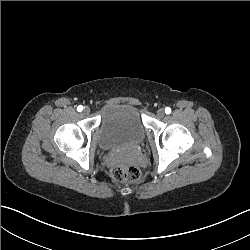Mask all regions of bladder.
Here are the masks:
<instances>
[{
    "instance_id": "1",
    "label": "bladder",
    "mask_w": 250,
    "mask_h": 250,
    "mask_svg": "<svg viewBox=\"0 0 250 250\" xmlns=\"http://www.w3.org/2000/svg\"><path fill=\"white\" fill-rule=\"evenodd\" d=\"M146 132V125L136 106L111 103L102 109L94 140L101 151L145 140Z\"/></svg>"
}]
</instances>
